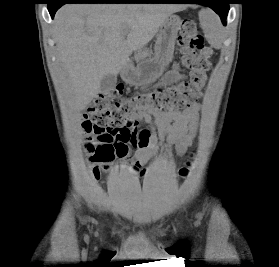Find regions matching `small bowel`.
Wrapping results in <instances>:
<instances>
[{"label":"small bowel","instance_id":"obj_1","mask_svg":"<svg viewBox=\"0 0 279 267\" xmlns=\"http://www.w3.org/2000/svg\"><path fill=\"white\" fill-rule=\"evenodd\" d=\"M183 78L177 65H174L166 74L165 82L174 83ZM199 115L198 104H193L184 110L168 112L149 111L131 118L132 128L137 130L139 120L149 124L148 136L143 144L131 145L135 157L143 163L150 162L159 152L170 153L175 151L183 154L191 145L197 130Z\"/></svg>","mask_w":279,"mask_h":267}]
</instances>
